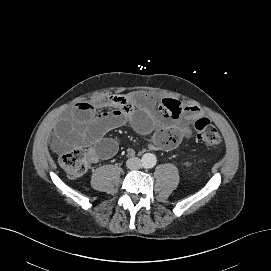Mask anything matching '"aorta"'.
I'll return each instance as SVG.
<instances>
[{
	"label": "aorta",
	"mask_w": 271,
	"mask_h": 271,
	"mask_svg": "<svg viewBox=\"0 0 271 271\" xmlns=\"http://www.w3.org/2000/svg\"><path fill=\"white\" fill-rule=\"evenodd\" d=\"M141 162H142V165L145 168H152V167H154L156 165L157 159H156V156L154 154L145 153L142 156Z\"/></svg>",
	"instance_id": "obj_1"
}]
</instances>
